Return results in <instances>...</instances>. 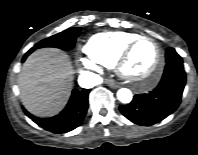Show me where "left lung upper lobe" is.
Listing matches in <instances>:
<instances>
[{"label": "left lung upper lobe", "instance_id": "obj_1", "mask_svg": "<svg viewBox=\"0 0 198 155\" xmlns=\"http://www.w3.org/2000/svg\"><path fill=\"white\" fill-rule=\"evenodd\" d=\"M171 62H182L181 56L173 48H168L166 50V63Z\"/></svg>", "mask_w": 198, "mask_h": 155}]
</instances>
